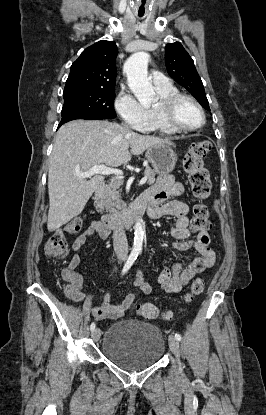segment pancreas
<instances>
[{"instance_id":"obj_1","label":"pancreas","mask_w":266,"mask_h":415,"mask_svg":"<svg viewBox=\"0 0 266 415\" xmlns=\"http://www.w3.org/2000/svg\"><path fill=\"white\" fill-rule=\"evenodd\" d=\"M145 177H147V183L149 185L155 182V172L149 166L144 171ZM123 179L120 177H114L111 182L106 185L102 192L97 196L95 207L97 211L103 212L104 210L108 213H116L121 211L125 204L121 199Z\"/></svg>"}]
</instances>
